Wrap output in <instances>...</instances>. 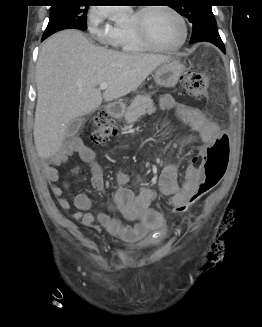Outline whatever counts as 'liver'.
Wrapping results in <instances>:
<instances>
[{
  "label": "liver",
  "mask_w": 262,
  "mask_h": 327,
  "mask_svg": "<svg viewBox=\"0 0 262 327\" xmlns=\"http://www.w3.org/2000/svg\"><path fill=\"white\" fill-rule=\"evenodd\" d=\"M166 55L127 54L95 46L77 30H64L43 44L36 64L34 143L47 159L61 148L70 121L135 91ZM108 83L101 93L97 88Z\"/></svg>",
  "instance_id": "liver-1"
}]
</instances>
